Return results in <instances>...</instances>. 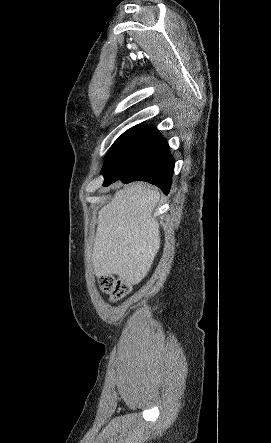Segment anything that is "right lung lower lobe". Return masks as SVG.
<instances>
[{
    "instance_id": "obj_1",
    "label": "right lung lower lobe",
    "mask_w": 271,
    "mask_h": 443,
    "mask_svg": "<svg viewBox=\"0 0 271 443\" xmlns=\"http://www.w3.org/2000/svg\"><path fill=\"white\" fill-rule=\"evenodd\" d=\"M174 163L167 141L154 126H136L112 165L102 171L105 179L103 186L117 180L124 183L142 180L168 194Z\"/></svg>"
}]
</instances>
